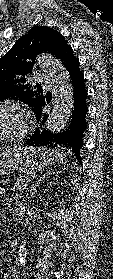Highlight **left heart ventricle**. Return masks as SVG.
<instances>
[{"label": "left heart ventricle", "instance_id": "b2bd125f", "mask_svg": "<svg viewBox=\"0 0 113 279\" xmlns=\"http://www.w3.org/2000/svg\"><path fill=\"white\" fill-rule=\"evenodd\" d=\"M19 113L11 108L0 109V137L13 135L21 130Z\"/></svg>", "mask_w": 113, "mask_h": 279}]
</instances>
